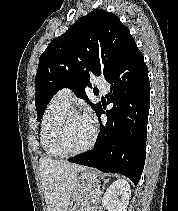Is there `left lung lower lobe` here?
I'll return each mask as SVG.
<instances>
[{"instance_id": "left-lung-lower-lobe-1", "label": "left lung lower lobe", "mask_w": 178, "mask_h": 211, "mask_svg": "<svg viewBox=\"0 0 178 211\" xmlns=\"http://www.w3.org/2000/svg\"><path fill=\"white\" fill-rule=\"evenodd\" d=\"M106 80L111 84L107 103L113 107L104 112L100 106L96 112L99 120L104 113L108 119L101 124L97 145L68 161L119 173L138 184L145 163L150 83L137 45Z\"/></svg>"}]
</instances>
